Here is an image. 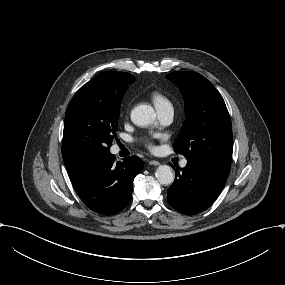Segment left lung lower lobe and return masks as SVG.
Here are the masks:
<instances>
[{"label": "left lung lower lobe", "instance_id": "left-lung-lower-lobe-1", "mask_svg": "<svg viewBox=\"0 0 285 285\" xmlns=\"http://www.w3.org/2000/svg\"><path fill=\"white\" fill-rule=\"evenodd\" d=\"M229 167L205 161H189L176 169V178L168 189L167 201L177 211L195 215L206 210L221 193Z\"/></svg>", "mask_w": 285, "mask_h": 285}]
</instances>
